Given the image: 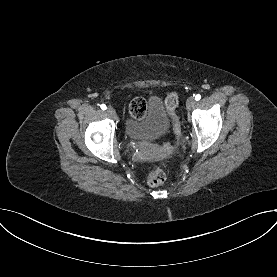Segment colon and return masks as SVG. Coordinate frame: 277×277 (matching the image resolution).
I'll list each match as a JSON object with an SVG mask.
<instances>
[{
  "label": "colon",
  "mask_w": 277,
  "mask_h": 277,
  "mask_svg": "<svg viewBox=\"0 0 277 277\" xmlns=\"http://www.w3.org/2000/svg\"><path fill=\"white\" fill-rule=\"evenodd\" d=\"M177 105H178V94L176 92H172L165 98V106L172 118L175 133L179 135L180 122L174 113ZM145 110H146V104H145V101L141 98L134 99L130 104V111L134 117L142 116ZM166 147L169 148V145L166 144ZM165 179H166V172H165V169L161 167L153 168L148 172L146 177V181L150 186H159L165 181Z\"/></svg>",
  "instance_id": "colon-1"
}]
</instances>
